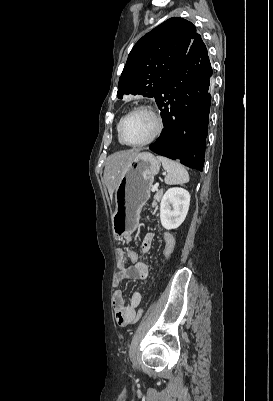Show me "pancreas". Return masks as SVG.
Listing matches in <instances>:
<instances>
[{
    "label": "pancreas",
    "mask_w": 273,
    "mask_h": 401,
    "mask_svg": "<svg viewBox=\"0 0 273 401\" xmlns=\"http://www.w3.org/2000/svg\"><path fill=\"white\" fill-rule=\"evenodd\" d=\"M162 192H163V190H157L156 194H154V201L152 203V207H155V205H157L156 201H160Z\"/></svg>",
    "instance_id": "obj_1"
}]
</instances>
